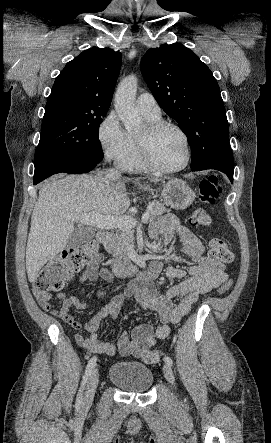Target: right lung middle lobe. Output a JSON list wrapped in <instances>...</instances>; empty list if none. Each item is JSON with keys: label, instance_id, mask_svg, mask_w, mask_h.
<instances>
[{"label": "right lung middle lobe", "instance_id": "1", "mask_svg": "<svg viewBox=\"0 0 271 443\" xmlns=\"http://www.w3.org/2000/svg\"><path fill=\"white\" fill-rule=\"evenodd\" d=\"M107 111H94L72 102L46 104L35 165L52 156L103 158L98 129Z\"/></svg>", "mask_w": 271, "mask_h": 443}]
</instances>
